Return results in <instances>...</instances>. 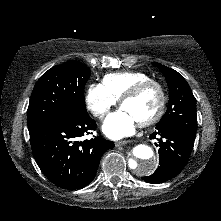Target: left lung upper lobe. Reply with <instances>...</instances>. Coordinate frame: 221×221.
Returning <instances> with one entry per match:
<instances>
[{"instance_id": "1", "label": "left lung upper lobe", "mask_w": 221, "mask_h": 221, "mask_svg": "<svg viewBox=\"0 0 221 221\" xmlns=\"http://www.w3.org/2000/svg\"><path fill=\"white\" fill-rule=\"evenodd\" d=\"M166 78L169 86V105L157 126H174L195 137L197 129L196 99L186 80L175 70L153 63Z\"/></svg>"}]
</instances>
